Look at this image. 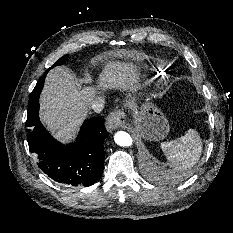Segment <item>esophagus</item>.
Returning a JSON list of instances; mask_svg holds the SVG:
<instances>
[{
	"label": "esophagus",
	"mask_w": 233,
	"mask_h": 233,
	"mask_svg": "<svg viewBox=\"0 0 233 233\" xmlns=\"http://www.w3.org/2000/svg\"><path fill=\"white\" fill-rule=\"evenodd\" d=\"M126 122L125 113L121 110L111 112L106 118V129L111 132L119 127H122Z\"/></svg>",
	"instance_id": "1"
}]
</instances>
